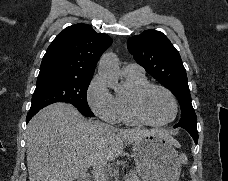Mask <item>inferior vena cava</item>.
<instances>
[{"instance_id": "inferior-vena-cava-1", "label": "inferior vena cava", "mask_w": 228, "mask_h": 181, "mask_svg": "<svg viewBox=\"0 0 228 181\" xmlns=\"http://www.w3.org/2000/svg\"><path fill=\"white\" fill-rule=\"evenodd\" d=\"M105 165L106 163H101V161H97V159L92 163V177L94 181H107Z\"/></svg>"}]
</instances>
